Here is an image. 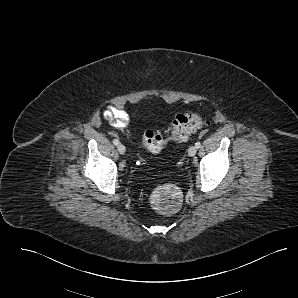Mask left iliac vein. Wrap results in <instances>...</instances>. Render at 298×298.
Here are the masks:
<instances>
[{
    "label": "left iliac vein",
    "mask_w": 298,
    "mask_h": 298,
    "mask_svg": "<svg viewBox=\"0 0 298 298\" xmlns=\"http://www.w3.org/2000/svg\"><path fill=\"white\" fill-rule=\"evenodd\" d=\"M196 152H197V148L195 146H190L189 147V149H188V155L190 157L195 156Z\"/></svg>",
    "instance_id": "4c4485c4"
}]
</instances>
